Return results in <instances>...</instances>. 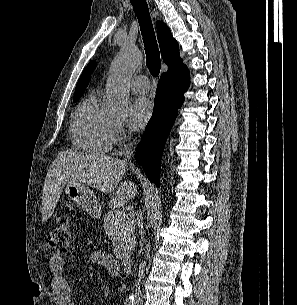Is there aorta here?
I'll return each instance as SVG.
<instances>
[{
	"mask_svg": "<svg viewBox=\"0 0 297 305\" xmlns=\"http://www.w3.org/2000/svg\"><path fill=\"white\" fill-rule=\"evenodd\" d=\"M141 63V52L131 46H123L113 60L106 85V106L111 112L120 115L127 112L128 80ZM163 177L161 178L162 182Z\"/></svg>",
	"mask_w": 297,
	"mask_h": 305,
	"instance_id": "obj_1",
	"label": "aorta"
}]
</instances>
